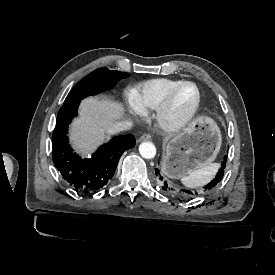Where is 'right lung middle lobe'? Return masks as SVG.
Masks as SVG:
<instances>
[{"label":"right lung middle lobe","instance_id":"obj_1","mask_svg":"<svg viewBox=\"0 0 275 275\" xmlns=\"http://www.w3.org/2000/svg\"><path fill=\"white\" fill-rule=\"evenodd\" d=\"M127 77H129V74L125 72L111 71L107 68L96 69L75 85L67 95L63 105L80 102L89 95H96L110 89L119 80Z\"/></svg>","mask_w":275,"mask_h":275}]
</instances>
